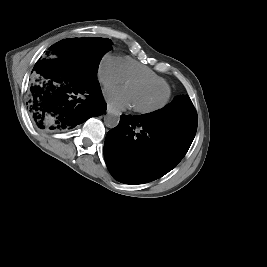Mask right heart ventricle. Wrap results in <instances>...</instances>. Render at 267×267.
Listing matches in <instances>:
<instances>
[{
  "label": "right heart ventricle",
  "mask_w": 267,
  "mask_h": 267,
  "mask_svg": "<svg viewBox=\"0 0 267 267\" xmlns=\"http://www.w3.org/2000/svg\"><path fill=\"white\" fill-rule=\"evenodd\" d=\"M121 70L125 80L130 77L140 76L150 78L163 83L165 86H169L167 81L154 72L150 67L142 65L129 57L121 58Z\"/></svg>",
  "instance_id": "obj_1"
}]
</instances>
